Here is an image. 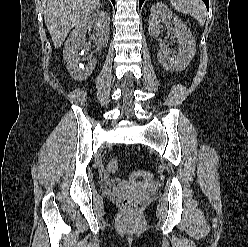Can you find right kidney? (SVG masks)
<instances>
[{
  "mask_svg": "<svg viewBox=\"0 0 248 247\" xmlns=\"http://www.w3.org/2000/svg\"><path fill=\"white\" fill-rule=\"evenodd\" d=\"M93 31V32H92ZM110 16L106 11H97L87 16L75 26L64 44L63 57L67 62L70 75L77 81L86 80L95 69L96 60L89 55L88 63L83 65L86 58H80L78 51L86 43V34L95 41L97 50L105 47L109 40ZM92 32V33H91Z\"/></svg>",
  "mask_w": 248,
  "mask_h": 247,
  "instance_id": "1",
  "label": "right kidney"
}]
</instances>
